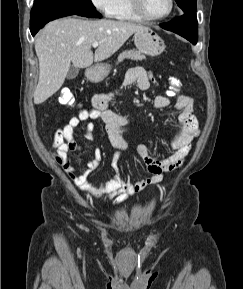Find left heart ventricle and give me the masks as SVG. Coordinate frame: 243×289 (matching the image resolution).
Wrapping results in <instances>:
<instances>
[{
  "mask_svg": "<svg viewBox=\"0 0 243 289\" xmlns=\"http://www.w3.org/2000/svg\"><path fill=\"white\" fill-rule=\"evenodd\" d=\"M143 5L148 15L161 16L168 11L170 0H143Z\"/></svg>",
  "mask_w": 243,
  "mask_h": 289,
  "instance_id": "obj_1",
  "label": "left heart ventricle"
}]
</instances>
